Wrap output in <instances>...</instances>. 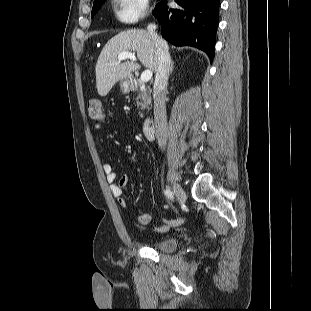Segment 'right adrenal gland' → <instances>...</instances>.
Segmentation results:
<instances>
[{
    "label": "right adrenal gland",
    "instance_id": "right-adrenal-gland-1",
    "mask_svg": "<svg viewBox=\"0 0 311 311\" xmlns=\"http://www.w3.org/2000/svg\"><path fill=\"white\" fill-rule=\"evenodd\" d=\"M173 69H174V63H173V61H171V66H170V74H172Z\"/></svg>",
    "mask_w": 311,
    "mask_h": 311
}]
</instances>
